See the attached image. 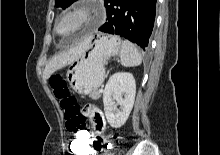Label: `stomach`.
<instances>
[{
    "label": "stomach",
    "mask_w": 220,
    "mask_h": 155,
    "mask_svg": "<svg viewBox=\"0 0 220 155\" xmlns=\"http://www.w3.org/2000/svg\"><path fill=\"white\" fill-rule=\"evenodd\" d=\"M121 40L115 35H102L89 43L83 54L72 62L67 71L71 89L79 95L91 96L97 92L105 78L107 60L116 56Z\"/></svg>",
    "instance_id": "obj_1"
}]
</instances>
